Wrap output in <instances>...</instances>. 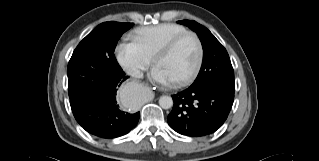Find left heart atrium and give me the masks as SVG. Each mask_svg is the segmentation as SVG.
Wrapping results in <instances>:
<instances>
[{
  "instance_id": "obj_1",
  "label": "left heart atrium",
  "mask_w": 319,
  "mask_h": 161,
  "mask_svg": "<svg viewBox=\"0 0 319 161\" xmlns=\"http://www.w3.org/2000/svg\"><path fill=\"white\" fill-rule=\"evenodd\" d=\"M151 76L154 81L160 83V84H167L170 82L166 74L158 67H155L152 70Z\"/></svg>"
}]
</instances>
